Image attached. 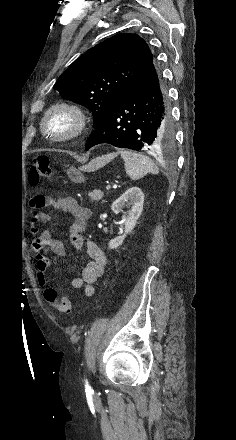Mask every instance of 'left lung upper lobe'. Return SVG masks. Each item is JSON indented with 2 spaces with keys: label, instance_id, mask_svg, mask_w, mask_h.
<instances>
[{
  "label": "left lung upper lobe",
  "instance_id": "5c2ea615",
  "mask_svg": "<svg viewBox=\"0 0 236 440\" xmlns=\"http://www.w3.org/2000/svg\"><path fill=\"white\" fill-rule=\"evenodd\" d=\"M153 60L152 52L141 37L121 33L76 59L53 88L63 98L89 108L97 127Z\"/></svg>",
  "mask_w": 236,
  "mask_h": 440
}]
</instances>
